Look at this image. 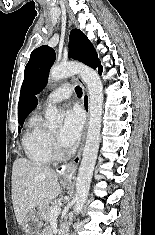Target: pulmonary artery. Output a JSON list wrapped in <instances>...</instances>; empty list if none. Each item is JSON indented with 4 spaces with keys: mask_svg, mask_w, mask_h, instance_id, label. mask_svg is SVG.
Returning <instances> with one entry per match:
<instances>
[{
    "mask_svg": "<svg viewBox=\"0 0 155 235\" xmlns=\"http://www.w3.org/2000/svg\"><path fill=\"white\" fill-rule=\"evenodd\" d=\"M72 87L70 85H62L53 90L45 99L44 105H53L68 99L72 95Z\"/></svg>",
    "mask_w": 155,
    "mask_h": 235,
    "instance_id": "1",
    "label": "pulmonary artery"
}]
</instances>
